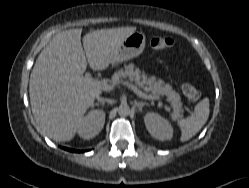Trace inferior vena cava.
I'll use <instances>...</instances> for the list:
<instances>
[{"instance_id":"602c4592","label":"inferior vena cava","mask_w":249,"mask_h":188,"mask_svg":"<svg viewBox=\"0 0 249 188\" xmlns=\"http://www.w3.org/2000/svg\"><path fill=\"white\" fill-rule=\"evenodd\" d=\"M97 100L100 102H109L112 103V100L106 99V98H101V97H97Z\"/></svg>"}]
</instances>
